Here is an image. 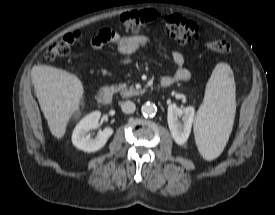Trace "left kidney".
<instances>
[{"label":"left kidney","mask_w":275,"mask_h":215,"mask_svg":"<svg viewBox=\"0 0 275 215\" xmlns=\"http://www.w3.org/2000/svg\"><path fill=\"white\" fill-rule=\"evenodd\" d=\"M195 109L192 106L179 108L176 104L168 106V126L173 139L179 145L186 143L194 120ZM183 116V122L179 118Z\"/></svg>","instance_id":"left-kidney-1"}]
</instances>
